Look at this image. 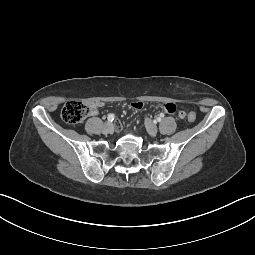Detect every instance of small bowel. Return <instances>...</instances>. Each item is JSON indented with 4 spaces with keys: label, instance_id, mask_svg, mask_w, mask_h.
Returning a JSON list of instances; mask_svg holds the SVG:
<instances>
[{
    "label": "small bowel",
    "instance_id": "c3829d8e",
    "mask_svg": "<svg viewBox=\"0 0 255 255\" xmlns=\"http://www.w3.org/2000/svg\"><path fill=\"white\" fill-rule=\"evenodd\" d=\"M100 103H94L91 105L90 108V115L95 116L98 114V107L100 106ZM144 105L143 102H135L133 103V106L135 108H141ZM161 108L169 113V114H174V117L177 120H184L188 113H189V108L187 105L182 104L181 102H174V103H163L161 104Z\"/></svg>",
    "mask_w": 255,
    "mask_h": 255
}]
</instances>
